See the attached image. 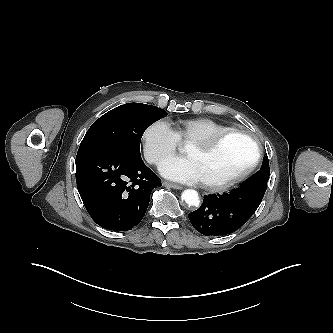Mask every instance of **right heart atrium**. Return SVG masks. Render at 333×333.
Wrapping results in <instances>:
<instances>
[{
    "label": "right heart atrium",
    "mask_w": 333,
    "mask_h": 333,
    "mask_svg": "<svg viewBox=\"0 0 333 333\" xmlns=\"http://www.w3.org/2000/svg\"><path fill=\"white\" fill-rule=\"evenodd\" d=\"M146 159L155 165L174 154L179 145L175 131L164 120L149 124L142 135Z\"/></svg>",
    "instance_id": "d8ad5b80"
}]
</instances>
